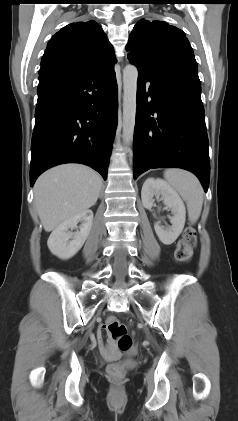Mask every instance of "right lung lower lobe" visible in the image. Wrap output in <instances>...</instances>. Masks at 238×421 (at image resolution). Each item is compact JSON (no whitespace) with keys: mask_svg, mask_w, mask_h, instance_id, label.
<instances>
[{"mask_svg":"<svg viewBox=\"0 0 238 421\" xmlns=\"http://www.w3.org/2000/svg\"><path fill=\"white\" fill-rule=\"evenodd\" d=\"M30 185L50 167L82 163L106 180L117 127V83L106 71L40 75Z\"/></svg>","mask_w":238,"mask_h":421,"instance_id":"obj_1","label":"right lung lower lobe"}]
</instances>
